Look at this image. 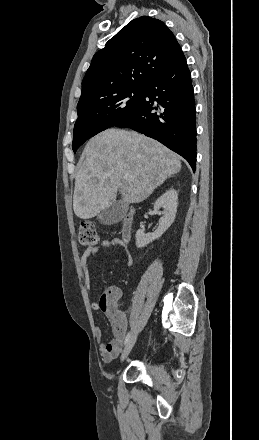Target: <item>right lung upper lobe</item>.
Returning a JSON list of instances; mask_svg holds the SVG:
<instances>
[{
  "label": "right lung upper lobe",
  "instance_id": "1",
  "mask_svg": "<svg viewBox=\"0 0 259 440\" xmlns=\"http://www.w3.org/2000/svg\"><path fill=\"white\" fill-rule=\"evenodd\" d=\"M182 55L162 21L148 16L132 20L95 53L82 81L77 109L121 90L148 88Z\"/></svg>",
  "mask_w": 259,
  "mask_h": 440
}]
</instances>
